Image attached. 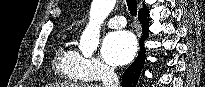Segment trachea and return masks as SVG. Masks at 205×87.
Wrapping results in <instances>:
<instances>
[{
  "label": "trachea",
  "instance_id": "obj_1",
  "mask_svg": "<svg viewBox=\"0 0 205 87\" xmlns=\"http://www.w3.org/2000/svg\"><path fill=\"white\" fill-rule=\"evenodd\" d=\"M127 6L130 14L132 16L137 15V1L136 0H127Z\"/></svg>",
  "mask_w": 205,
  "mask_h": 87
}]
</instances>
